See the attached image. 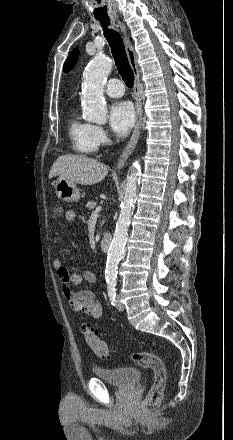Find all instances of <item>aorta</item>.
I'll list each match as a JSON object with an SVG mask.
<instances>
[{"label":"aorta","instance_id":"obj_1","mask_svg":"<svg viewBox=\"0 0 233 440\" xmlns=\"http://www.w3.org/2000/svg\"><path fill=\"white\" fill-rule=\"evenodd\" d=\"M112 70V62L104 55L98 54L89 64L84 79L82 100L84 116L89 122L104 124L107 120V107L104 101V85ZM141 166L138 161L127 176L125 194L121 202V211L116 224L112 242L108 250L105 276L107 280H115L117 266L124 255V247L128 237V228L137 198L140 184Z\"/></svg>","mask_w":233,"mask_h":440}]
</instances>
